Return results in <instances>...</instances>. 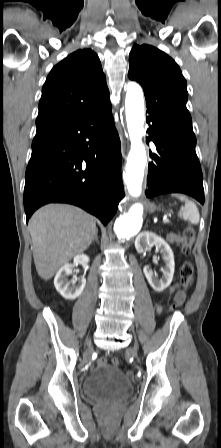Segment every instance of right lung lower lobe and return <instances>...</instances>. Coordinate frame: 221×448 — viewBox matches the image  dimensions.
<instances>
[{
  "label": "right lung lower lobe",
  "instance_id": "98d812e1",
  "mask_svg": "<svg viewBox=\"0 0 221 448\" xmlns=\"http://www.w3.org/2000/svg\"><path fill=\"white\" fill-rule=\"evenodd\" d=\"M124 197L110 101L36 134L25 174L26 221L50 202L77 205L106 225Z\"/></svg>",
  "mask_w": 221,
  "mask_h": 448
}]
</instances>
